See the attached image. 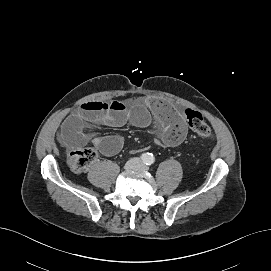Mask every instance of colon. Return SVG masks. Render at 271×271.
Wrapping results in <instances>:
<instances>
[{"label":"colon","mask_w":271,"mask_h":271,"mask_svg":"<svg viewBox=\"0 0 271 271\" xmlns=\"http://www.w3.org/2000/svg\"><path fill=\"white\" fill-rule=\"evenodd\" d=\"M190 129L199 137L211 140L213 132L200 112L187 109L184 112ZM96 158V152L91 148L72 150L67 156V164L72 172L76 174L87 171Z\"/></svg>","instance_id":"obj_1"}]
</instances>
